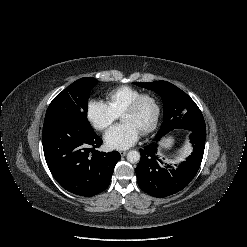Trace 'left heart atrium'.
<instances>
[{
    "label": "left heart atrium",
    "instance_id": "obj_1",
    "mask_svg": "<svg viewBox=\"0 0 247 247\" xmlns=\"http://www.w3.org/2000/svg\"><path fill=\"white\" fill-rule=\"evenodd\" d=\"M140 135L139 129L130 122L112 127L105 134V143L111 149H127L136 143Z\"/></svg>",
    "mask_w": 247,
    "mask_h": 247
}]
</instances>
